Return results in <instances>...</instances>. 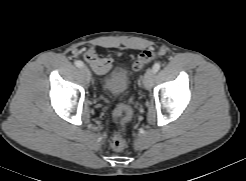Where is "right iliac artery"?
Segmentation results:
<instances>
[{"instance_id": "1", "label": "right iliac artery", "mask_w": 246, "mask_h": 181, "mask_svg": "<svg viewBox=\"0 0 246 181\" xmlns=\"http://www.w3.org/2000/svg\"><path fill=\"white\" fill-rule=\"evenodd\" d=\"M75 65L77 66V67H82L84 64H83V62L82 61H80V60H77V61H75Z\"/></svg>"}]
</instances>
